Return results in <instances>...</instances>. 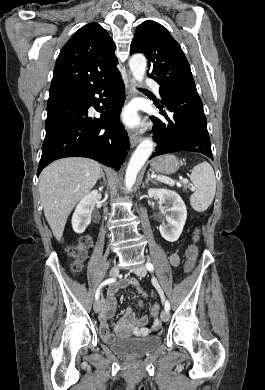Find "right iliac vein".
<instances>
[{"label": "right iliac vein", "mask_w": 265, "mask_h": 390, "mask_svg": "<svg viewBox=\"0 0 265 390\" xmlns=\"http://www.w3.org/2000/svg\"><path fill=\"white\" fill-rule=\"evenodd\" d=\"M118 274H119V267H118V266H114V267L110 270V272H109V276H110L111 278L117 277ZM100 309H101V302H100V300L98 299V300H96L95 303H94V311H95L96 313H99Z\"/></svg>", "instance_id": "63e3f726"}]
</instances>
